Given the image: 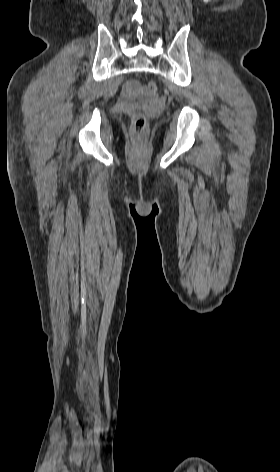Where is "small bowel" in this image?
I'll return each instance as SVG.
<instances>
[{"instance_id": "c3829d8e", "label": "small bowel", "mask_w": 280, "mask_h": 472, "mask_svg": "<svg viewBox=\"0 0 280 472\" xmlns=\"http://www.w3.org/2000/svg\"><path fill=\"white\" fill-rule=\"evenodd\" d=\"M140 89L139 85L136 82H128L125 85L124 91L126 94L130 95Z\"/></svg>"}]
</instances>
